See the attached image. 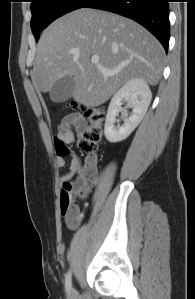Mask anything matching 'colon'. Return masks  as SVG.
<instances>
[{
  "label": "colon",
  "instance_id": "colon-1",
  "mask_svg": "<svg viewBox=\"0 0 195 299\" xmlns=\"http://www.w3.org/2000/svg\"><path fill=\"white\" fill-rule=\"evenodd\" d=\"M83 112L89 124L79 140V147L88 156L81 167L80 177L76 181L68 183L67 187L69 190L61 194L62 215L72 218L79 214L78 200L85 196L95 179L94 153L102 140V127L106 117V110L103 106L84 107Z\"/></svg>",
  "mask_w": 195,
  "mask_h": 299
}]
</instances>
